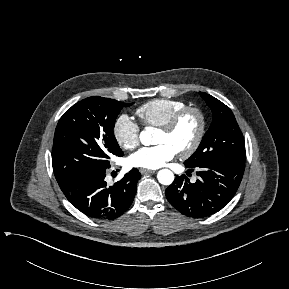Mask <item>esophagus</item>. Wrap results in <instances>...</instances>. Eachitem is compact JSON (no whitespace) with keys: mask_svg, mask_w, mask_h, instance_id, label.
I'll list each match as a JSON object with an SVG mask.
<instances>
[{"mask_svg":"<svg viewBox=\"0 0 289 289\" xmlns=\"http://www.w3.org/2000/svg\"><path fill=\"white\" fill-rule=\"evenodd\" d=\"M155 172H156L155 170H149V169H144V168H141V169H140V173H141L142 175L153 174V173H155Z\"/></svg>","mask_w":289,"mask_h":289,"instance_id":"obj_1","label":"esophagus"}]
</instances>
